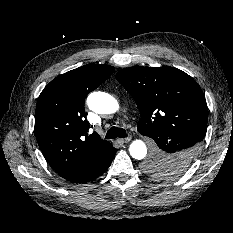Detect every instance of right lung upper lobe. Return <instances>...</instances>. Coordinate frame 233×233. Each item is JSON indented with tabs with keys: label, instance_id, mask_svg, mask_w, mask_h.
<instances>
[{
	"label": "right lung upper lobe",
	"instance_id": "obj_1",
	"mask_svg": "<svg viewBox=\"0 0 233 233\" xmlns=\"http://www.w3.org/2000/svg\"><path fill=\"white\" fill-rule=\"evenodd\" d=\"M113 71L109 65H84L53 79L38 98L36 139L46 161L61 177L102 158L112 146L98 135H88L84 100Z\"/></svg>",
	"mask_w": 233,
	"mask_h": 233
}]
</instances>
